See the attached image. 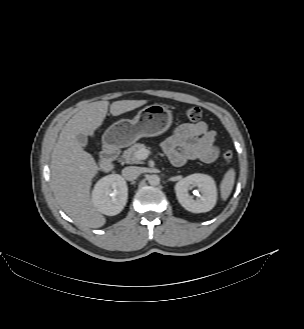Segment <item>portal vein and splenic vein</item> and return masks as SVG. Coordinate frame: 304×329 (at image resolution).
I'll return each instance as SVG.
<instances>
[{
	"label": "portal vein and splenic vein",
	"mask_w": 304,
	"mask_h": 329,
	"mask_svg": "<svg viewBox=\"0 0 304 329\" xmlns=\"http://www.w3.org/2000/svg\"><path fill=\"white\" fill-rule=\"evenodd\" d=\"M149 154H150V151L148 149L141 148L140 150H138L136 152V158L138 160H145L148 157Z\"/></svg>",
	"instance_id": "obj_1"
}]
</instances>
